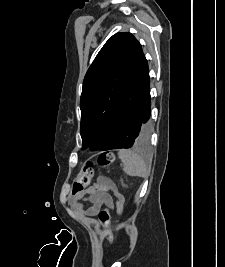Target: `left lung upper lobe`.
I'll return each mask as SVG.
<instances>
[{
    "instance_id": "5c2ea615",
    "label": "left lung upper lobe",
    "mask_w": 225,
    "mask_h": 267,
    "mask_svg": "<svg viewBox=\"0 0 225 267\" xmlns=\"http://www.w3.org/2000/svg\"><path fill=\"white\" fill-rule=\"evenodd\" d=\"M143 55L137 39L130 33H116L99 51L83 81L80 100L82 147L101 149L111 139L119 118L123 98ZM140 128L135 147L144 145L145 128Z\"/></svg>"
}]
</instances>
